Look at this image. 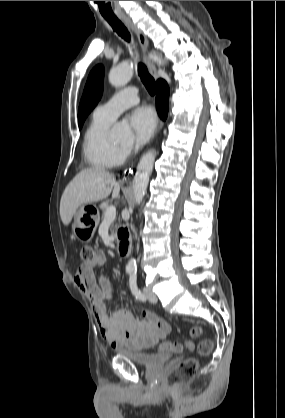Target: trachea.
I'll return each mask as SVG.
<instances>
[{
	"label": "trachea",
	"mask_w": 285,
	"mask_h": 418,
	"mask_svg": "<svg viewBox=\"0 0 285 418\" xmlns=\"http://www.w3.org/2000/svg\"><path fill=\"white\" fill-rule=\"evenodd\" d=\"M104 18L107 22L111 25L114 31L117 32L119 36H121L126 41H130V34L126 27L119 21L117 17H106ZM138 74L145 85L146 89L151 95H155L156 93V83L154 78L148 73L146 66L143 63L138 64Z\"/></svg>",
	"instance_id": "3493384b"
}]
</instances>
